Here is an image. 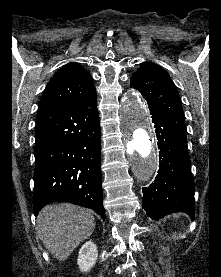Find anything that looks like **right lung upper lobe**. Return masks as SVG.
I'll return each mask as SVG.
<instances>
[{"label": "right lung upper lobe", "instance_id": "right-lung-upper-lobe-1", "mask_svg": "<svg viewBox=\"0 0 221 277\" xmlns=\"http://www.w3.org/2000/svg\"><path fill=\"white\" fill-rule=\"evenodd\" d=\"M96 93L92 76L79 64L59 69L46 86L39 109L60 107L85 100Z\"/></svg>", "mask_w": 221, "mask_h": 277}]
</instances>
